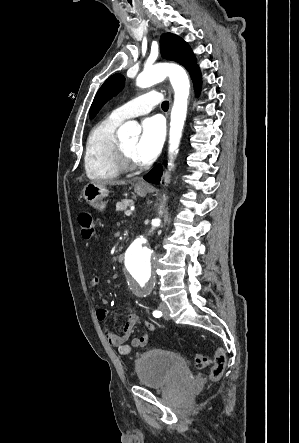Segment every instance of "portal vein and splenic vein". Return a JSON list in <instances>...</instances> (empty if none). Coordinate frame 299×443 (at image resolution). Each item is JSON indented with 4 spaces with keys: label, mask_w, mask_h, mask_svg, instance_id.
I'll list each match as a JSON object with an SVG mask.
<instances>
[{
    "label": "portal vein and splenic vein",
    "mask_w": 299,
    "mask_h": 443,
    "mask_svg": "<svg viewBox=\"0 0 299 443\" xmlns=\"http://www.w3.org/2000/svg\"><path fill=\"white\" fill-rule=\"evenodd\" d=\"M131 214H132V211H131V210H127V211H125V215H126V216H131Z\"/></svg>",
    "instance_id": "portal-vein-and-splenic-vein-1"
}]
</instances>
